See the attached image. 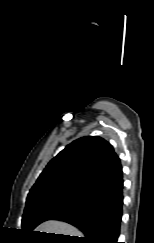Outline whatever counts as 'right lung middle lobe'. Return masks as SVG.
Here are the masks:
<instances>
[{"mask_svg":"<svg viewBox=\"0 0 154 243\" xmlns=\"http://www.w3.org/2000/svg\"><path fill=\"white\" fill-rule=\"evenodd\" d=\"M86 200L63 195H50L32 199L26 202L22 218V231L31 234L40 223L65 209L75 208Z\"/></svg>","mask_w":154,"mask_h":243,"instance_id":"right-lung-middle-lobe-1","label":"right lung middle lobe"}]
</instances>
